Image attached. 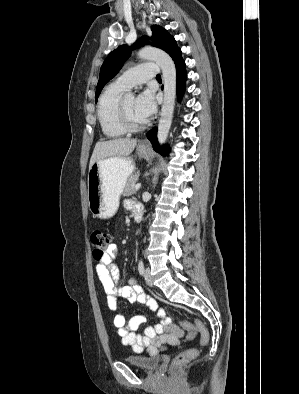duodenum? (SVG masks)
I'll list each match as a JSON object with an SVG mask.
<instances>
[{
    "label": "duodenum",
    "mask_w": 299,
    "mask_h": 394,
    "mask_svg": "<svg viewBox=\"0 0 299 394\" xmlns=\"http://www.w3.org/2000/svg\"><path fill=\"white\" fill-rule=\"evenodd\" d=\"M143 217V213L141 211V209L136 208L134 210V219L136 222H140L142 220Z\"/></svg>",
    "instance_id": "1"
}]
</instances>
